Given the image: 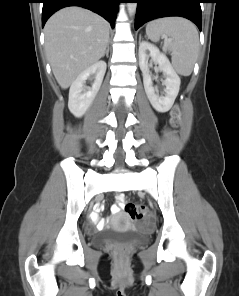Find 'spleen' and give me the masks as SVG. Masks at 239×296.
<instances>
[{"label": "spleen", "mask_w": 239, "mask_h": 296, "mask_svg": "<svg viewBox=\"0 0 239 296\" xmlns=\"http://www.w3.org/2000/svg\"><path fill=\"white\" fill-rule=\"evenodd\" d=\"M146 33L151 40H157L161 34L172 52V65L183 76L192 73L199 51V35L193 23L182 18H166L151 21L146 26Z\"/></svg>", "instance_id": "1"}]
</instances>
